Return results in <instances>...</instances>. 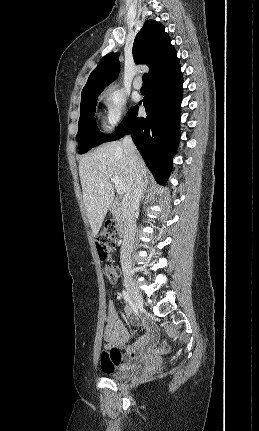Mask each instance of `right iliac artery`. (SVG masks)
<instances>
[{
	"mask_svg": "<svg viewBox=\"0 0 259 431\" xmlns=\"http://www.w3.org/2000/svg\"><path fill=\"white\" fill-rule=\"evenodd\" d=\"M122 294H123V297H124V300L126 301V303H130L131 299H130V296H129L128 292L125 291V290H123Z\"/></svg>",
	"mask_w": 259,
	"mask_h": 431,
	"instance_id": "right-iliac-artery-1",
	"label": "right iliac artery"
}]
</instances>
